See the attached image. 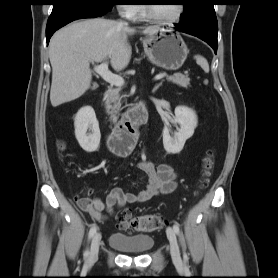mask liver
<instances>
[{
	"label": "liver",
	"instance_id": "obj_1",
	"mask_svg": "<svg viewBox=\"0 0 278 278\" xmlns=\"http://www.w3.org/2000/svg\"><path fill=\"white\" fill-rule=\"evenodd\" d=\"M159 27H146L145 35H155ZM136 32L126 23L103 18L74 22L51 38L49 59L52 67L50 101L53 107L73 101L90 87V62L110 58L116 71L124 69L131 58L128 35Z\"/></svg>",
	"mask_w": 278,
	"mask_h": 278
}]
</instances>
